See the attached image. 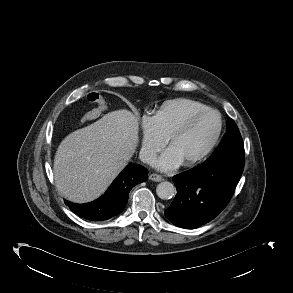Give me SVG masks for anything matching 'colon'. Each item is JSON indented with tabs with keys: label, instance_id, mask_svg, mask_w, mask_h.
Returning a JSON list of instances; mask_svg holds the SVG:
<instances>
[{
	"label": "colon",
	"instance_id": "obj_1",
	"mask_svg": "<svg viewBox=\"0 0 293 293\" xmlns=\"http://www.w3.org/2000/svg\"><path fill=\"white\" fill-rule=\"evenodd\" d=\"M87 100L91 104H93L94 107L83 115L82 117L83 122H88V121L96 119L103 112H105L108 107L107 98L100 92H96V91L90 92L87 95Z\"/></svg>",
	"mask_w": 293,
	"mask_h": 293
}]
</instances>
